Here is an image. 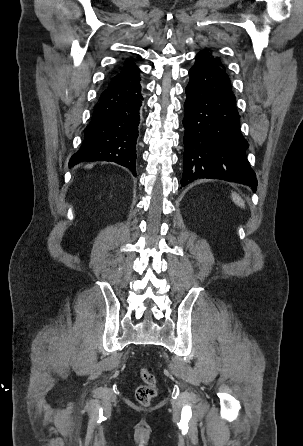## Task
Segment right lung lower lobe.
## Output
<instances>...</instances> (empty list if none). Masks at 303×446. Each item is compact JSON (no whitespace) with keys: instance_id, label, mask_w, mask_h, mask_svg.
Here are the masks:
<instances>
[{"instance_id":"98d812e1","label":"right lung lower lobe","mask_w":303,"mask_h":446,"mask_svg":"<svg viewBox=\"0 0 303 446\" xmlns=\"http://www.w3.org/2000/svg\"><path fill=\"white\" fill-rule=\"evenodd\" d=\"M140 76L110 83L101 93L81 148L69 166L84 161H111L136 175V140L143 102Z\"/></svg>"}]
</instances>
